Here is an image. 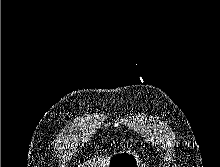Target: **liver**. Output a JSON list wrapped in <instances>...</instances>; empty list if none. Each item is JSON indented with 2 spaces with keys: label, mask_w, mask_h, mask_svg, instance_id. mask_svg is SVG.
I'll return each instance as SVG.
<instances>
[{
  "label": "liver",
  "mask_w": 220,
  "mask_h": 167,
  "mask_svg": "<svg viewBox=\"0 0 220 167\" xmlns=\"http://www.w3.org/2000/svg\"><path fill=\"white\" fill-rule=\"evenodd\" d=\"M110 161V157H100L94 159L93 161H87L83 164L78 165V167H107Z\"/></svg>",
  "instance_id": "6515ba94"
}]
</instances>
